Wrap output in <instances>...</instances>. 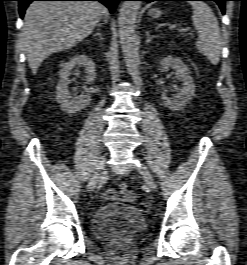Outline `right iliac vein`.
<instances>
[{"label": "right iliac vein", "instance_id": "right-iliac-vein-1", "mask_svg": "<svg viewBox=\"0 0 247 265\" xmlns=\"http://www.w3.org/2000/svg\"><path fill=\"white\" fill-rule=\"evenodd\" d=\"M105 160H106L105 155L100 156V158L96 164L94 173H93V175L89 181L88 191L91 192L95 189L97 182L99 181L101 175L103 174V170L105 167Z\"/></svg>", "mask_w": 247, "mask_h": 265}]
</instances>
